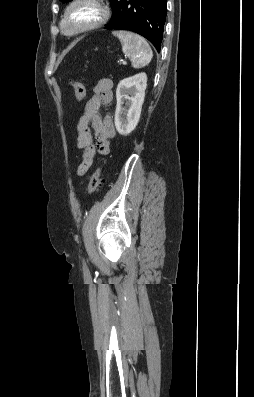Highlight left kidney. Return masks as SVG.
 <instances>
[{
  "label": "left kidney",
  "instance_id": "obj_1",
  "mask_svg": "<svg viewBox=\"0 0 254 397\" xmlns=\"http://www.w3.org/2000/svg\"><path fill=\"white\" fill-rule=\"evenodd\" d=\"M146 87L145 73L136 74L119 82L116 89L115 127L120 135L127 136L138 124Z\"/></svg>",
  "mask_w": 254,
  "mask_h": 397
}]
</instances>
